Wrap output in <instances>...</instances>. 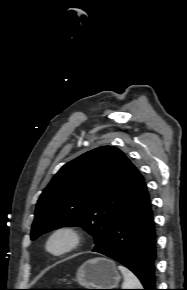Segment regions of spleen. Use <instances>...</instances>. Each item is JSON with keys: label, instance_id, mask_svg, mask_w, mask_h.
Wrapping results in <instances>:
<instances>
[{"label": "spleen", "instance_id": "1", "mask_svg": "<svg viewBox=\"0 0 187 290\" xmlns=\"http://www.w3.org/2000/svg\"><path fill=\"white\" fill-rule=\"evenodd\" d=\"M118 269L121 271L124 277L122 289H142L140 281L128 268L123 265H119Z\"/></svg>", "mask_w": 187, "mask_h": 290}]
</instances>
